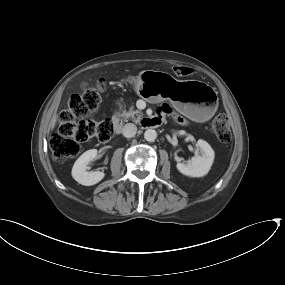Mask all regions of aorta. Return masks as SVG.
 <instances>
[{"label": "aorta", "instance_id": "1", "mask_svg": "<svg viewBox=\"0 0 285 285\" xmlns=\"http://www.w3.org/2000/svg\"><path fill=\"white\" fill-rule=\"evenodd\" d=\"M145 140L153 142L157 138V132L154 129H147L144 132Z\"/></svg>", "mask_w": 285, "mask_h": 285}]
</instances>
